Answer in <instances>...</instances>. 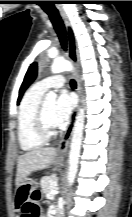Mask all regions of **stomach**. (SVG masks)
<instances>
[{"instance_id":"obj_1","label":"stomach","mask_w":132,"mask_h":217,"mask_svg":"<svg viewBox=\"0 0 132 217\" xmlns=\"http://www.w3.org/2000/svg\"><path fill=\"white\" fill-rule=\"evenodd\" d=\"M56 164L61 165L63 163V159L58 156L55 161ZM37 182H35L31 178H25L24 182L21 184L19 188L26 187L28 188L29 192H33L37 188Z\"/></svg>"}]
</instances>
